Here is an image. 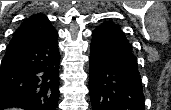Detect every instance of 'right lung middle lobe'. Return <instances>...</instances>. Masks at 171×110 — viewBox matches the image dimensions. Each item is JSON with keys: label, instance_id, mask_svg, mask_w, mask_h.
<instances>
[{"label": "right lung middle lobe", "instance_id": "1", "mask_svg": "<svg viewBox=\"0 0 171 110\" xmlns=\"http://www.w3.org/2000/svg\"><path fill=\"white\" fill-rule=\"evenodd\" d=\"M16 60H17V57L16 56H7V57H4L3 60H2V62H1V67L8 66V65L12 64Z\"/></svg>", "mask_w": 171, "mask_h": 110}]
</instances>
